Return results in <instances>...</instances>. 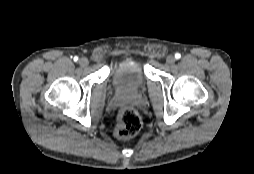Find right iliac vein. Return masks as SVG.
Masks as SVG:
<instances>
[{
  "mask_svg": "<svg viewBox=\"0 0 254 174\" xmlns=\"http://www.w3.org/2000/svg\"><path fill=\"white\" fill-rule=\"evenodd\" d=\"M78 63L80 64V66L86 67L89 64V61L86 57H82L79 59Z\"/></svg>",
  "mask_w": 254,
  "mask_h": 174,
  "instance_id": "right-iliac-vein-1",
  "label": "right iliac vein"
}]
</instances>
